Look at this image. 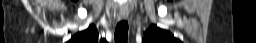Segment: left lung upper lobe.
Masks as SVG:
<instances>
[{"label": "left lung upper lobe", "mask_w": 256, "mask_h": 43, "mask_svg": "<svg viewBox=\"0 0 256 43\" xmlns=\"http://www.w3.org/2000/svg\"><path fill=\"white\" fill-rule=\"evenodd\" d=\"M144 36L145 39L142 40V43H181L170 32L162 30L155 25H151L144 33Z\"/></svg>", "instance_id": "obj_1"}]
</instances>
